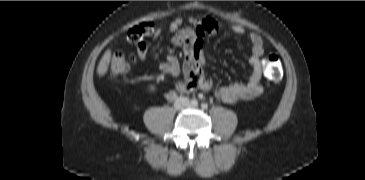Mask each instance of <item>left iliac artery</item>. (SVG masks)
Returning a JSON list of instances; mask_svg holds the SVG:
<instances>
[{"instance_id": "left-iliac-artery-1", "label": "left iliac artery", "mask_w": 365, "mask_h": 180, "mask_svg": "<svg viewBox=\"0 0 365 180\" xmlns=\"http://www.w3.org/2000/svg\"><path fill=\"white\" fill-rule=\"evenodd\" d=\"M201 108H202L203 110L207 109V108H208V104H207V103H202V104H201Z\"/></svg>"}]
</instances>
